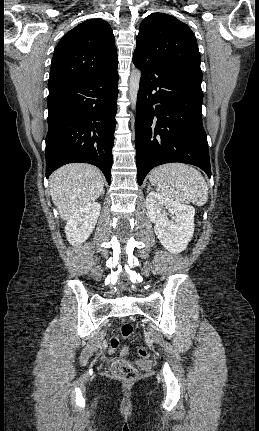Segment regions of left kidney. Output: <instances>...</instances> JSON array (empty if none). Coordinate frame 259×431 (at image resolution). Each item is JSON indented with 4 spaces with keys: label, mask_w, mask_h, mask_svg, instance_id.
Returning a JSON list of instances; mask_svg holds the SVG:
<instances>
[{
    "label": "left kidney",
    "mask_w": 259,
    "mask_h": 431,
    "mask_svg": "<svg viewBox=\"0 0 259 431\" xmlns=\"http://www.w3.org/2000/svg\"><path fill=\"white\" fill-rule=\"evenodd\" d=\"M146 207L161 244L171 253L185 250L194 233V207L154 191L147 195ZM167 214H170V219Z\"/></svg>",
    "instance_id": "left-kidney-1"
}]
</instances>
